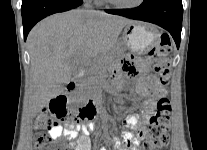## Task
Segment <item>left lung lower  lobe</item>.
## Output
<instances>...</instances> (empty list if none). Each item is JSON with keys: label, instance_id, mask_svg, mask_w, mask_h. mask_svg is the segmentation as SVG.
<instances>
[{"label": "left lung lower lobe", "instance_id": "left-lung-lower-lobe-1", "mask_svg": "<svg viewBox=\"0 0 207 150\" xmlns=\"http://www.w3.org/2000/svg\"><path fill=\"white\" fill-rule=\"evenodd\" d=\"M106 12L154 23L166 29L179 48L182 30V0H144L134 9H109Z\"/></svg>", "mask_w": 207, "mask_h": 150}]
</instances>
